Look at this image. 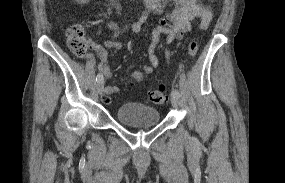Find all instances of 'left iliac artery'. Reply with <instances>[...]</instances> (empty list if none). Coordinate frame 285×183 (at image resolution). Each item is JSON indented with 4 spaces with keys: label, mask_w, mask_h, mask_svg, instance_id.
I'll list each match as a JSON object with an SVG mask.
<instances>
[{
    "label": "left iliac artery",
    "mask_w": 285,
    "mask_h": 183,
    "mask_svg": "<svg viewBox=\"0 0 285 183\" xmlns=\"http://www.w3.org/2000/svg\"><path fill=\"white\" fill-rule=\"evenodd\" d=\"M166 56L168 57L169 56V53L166 51ZM172 95H175L177 97H180V93L177 89H172Z\"/></svg>",
    "instance_id": "44dca946"
}]
</instances>
